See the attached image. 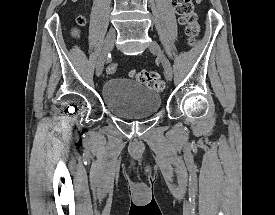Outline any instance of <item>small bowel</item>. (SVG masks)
Returning a JSON list of instances; mask_svg holds the SVG:
<instances>
[{
	"instance_id": "1",
	"label": "small bowel",
	"mask_w": 275,
	"mask_h": 215,
	"mask_svg": "<svg viewBox=\"0 0 275 215\" xmlns=\"http://www.w3.org/2000/svg\"><path fill=\"white\" fill-rule=\"evenodd\" d=\"M197 1V3H200L202 0H196Z\"/></svg>"
}]
</instances>
